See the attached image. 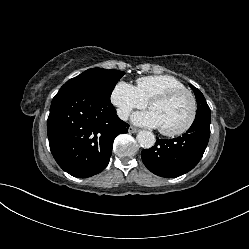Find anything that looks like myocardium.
I'll return each instance as SVG.
<instances>
[{"label": "myocardium", "instance_id": "1", "mask_svg": "<svg viewBox=\"0 0 249 249\" xmlns=\"http://www.w3.org/2000/svg\"><path fill=\"white\" fill-rule=\"evenodd\" d=\"M182 95L187 96L190 100V103H191V112H190L189 119L181 128L176 129V130H165V129L160 128V132L165 136H169V137L179 136V135L186 133L192 127V125L194 124V122L196 120V116H197V109H198L197 100H196L194 94L187 89H174V90H170V91L164 92L162 94H159V95L153 97L149 101V108L151 109L152 106L157 104V103L168 102V101H170L178 96H182Z\"/></svg>", "mask_w": 249, "mask_h": 249}]
</instances>
